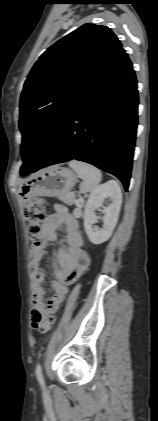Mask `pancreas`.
<instances>
[{"label": "pancreas", "instance_id": "cf45deb5", "mask_svg": "<svg viewBox=\"0 0 158 421\" xmlns=\"http://www.w3.org/2000/svg\"><path fill=\"white\" fill-rule=\"evenodd\" d=\"M62 201H64L65 203L72 205V204H76L78 206H83L84 205V200L83 199H75L74 194L70 193L67 194L66 196H63L61 198Z\"/></svg>", "mask_w": 158, "mask_h": 421}]
</instances>
